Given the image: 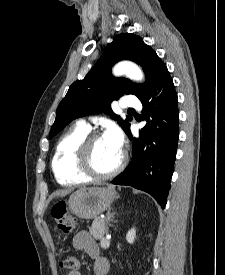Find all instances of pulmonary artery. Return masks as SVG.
Here are the masks:
<instances>
[{
  "instance_id": "1",
  "label": "pulmonary artery",
  "mask_w": 225,
  "mask_h": 275,
  "mask_svg": "<svg viewBox=\"0 0 225 275\" xmlns=\"http://www.w3.org/2000/svg\"><path fill=\"white\" fill-rule=\"evenodd\" d=\"M121 106L124 108H137L140 107V101L134 96H125L121 102ZM80 124L89 128V125L85 121H81Z\"/></svg>"
}]
</instances>
